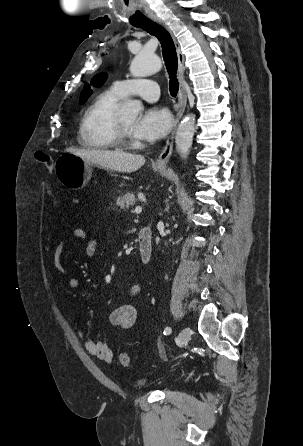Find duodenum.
Masks as SVG:
<instances>
[{
  "label": "duodenum",
  "mask_w": 303,
  "mask_h": 446,
  "mask_svg": "<svg viewBox=\"0 0 303 446\" xmlns=\"http://www.w3.org/2000/svg\"><path fill=\"white\" fill-rule=\"evenodd\" d=\"M138 245L141 262L146 265L153 255L152 232L149 228H143L138 233Z\"/></svg>",
  "instance_id": "obj_1"
}]
</instances>
